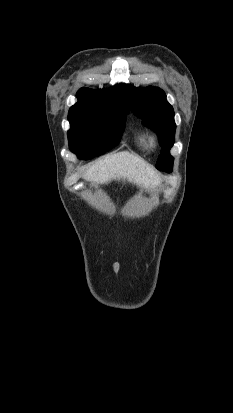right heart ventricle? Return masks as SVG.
<instances>
[{"mask_svg": "<svg viewBox=\"0 0 233 413\" xmlns=\"http://www.w3.org/2000/svg\"><path fill=\"white\" fill-rule=\"evenodd\" d=\"M135 138L140 146L145 147L148 145V135L141 129L135 131Z\"/></svg>", "mask_w": 233, "mask_h": 413, "instance_id": "1", "label": "right heart ventricle"}]
</instances>
